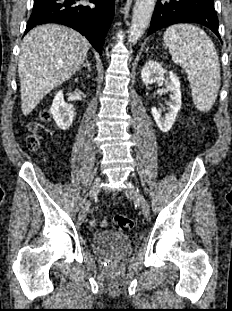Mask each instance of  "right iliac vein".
<instances>
[{"instance_id": "63e3f726", "label": "right iliac vein", "mask_w": 232, "mask_h": 311, "mask_svg": "<svg viewBox=\"0 0 232 311\" xmlns=\"http://www.w3.org/2000/svg\"><path fill=\"white\" fill-rule=\"evenodd\" d=\"M100 181H101L100 177H97L94 180V182L92 183V185L90 187V191H89L90 198H93L98 194L99 188H100ZM87 211H88L87 207L82 209V211L80 212V214L78 216L79 222H83L85 220L86 215H87Z\"/></svg>"}]
</instances>
